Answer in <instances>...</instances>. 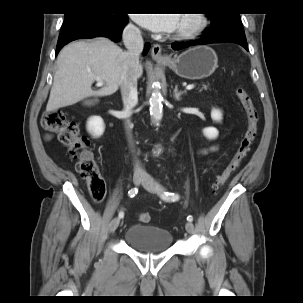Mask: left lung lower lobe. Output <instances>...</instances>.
I'll use <instances>...</instances> for the list:
<instances>
[{
    "label": "left lung lower lobe",
    "mask_w": 303,
    "mask_h": 303,
    "mask_svg": "<svg viewBox=\"0 0 303 303\" xmlns=\"http://www.w3.org/2000/svg\"><path fill=\"white\" fill-rule=\"evenodd\" d=\"M223 42L237 43L242 47H244L246 50H248L245 34H238V33L205 35L204 37L195 41L184 42V43H173L172 48L174 50H180L189 46L204 45L210 43H223Z\"/></svg>",
    "instance_id": "obj_1"
}]
</instances>
